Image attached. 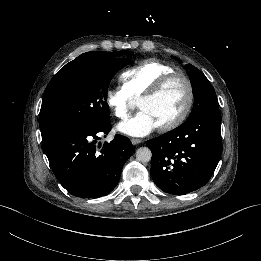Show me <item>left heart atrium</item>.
<instances>
[{"instance_id":"39dd6f15","label":"left heart atrium","mask_w":261,"mask_h":261,"mask_svg":"<svg viewBox=\"0 0 261 261\" xmlns=\"http://www.w3.org/2000/svg\"><path fill=\"white\" fill-rule=\"evenodd\" d=\"M158 127L155 119L147 111L141 110L130 120L119 124L117 129L132 137H144Z\"/></svg>"}]
</instances>
